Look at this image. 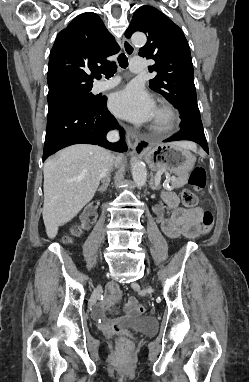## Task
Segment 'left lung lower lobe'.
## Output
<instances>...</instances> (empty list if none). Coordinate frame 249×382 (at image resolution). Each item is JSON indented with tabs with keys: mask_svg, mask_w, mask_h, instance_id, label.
<instances>
[{
	"mask_svg": "<svg viewBox=\"0 0 249 382\" xmlns=\"http://www.w3.org/2000/svg\"><path fill=\"white\" fill-rule=\"evenodd\" d=\"M179 140H190L198 143L202 148L208 152V145L205 138L203 125L201 122V119H182L181 122V129L180 131L173 135L172 137L164 140V142H171V141H179ZM147 143L142 142L137 147V150L139 151L142 146H146Z\"/></svg>",
	"mask_w": 249,
	"mask_h": 382,
	"instance_id": "1",
	"label": "left lung lower lobe"
}]
</instances>
